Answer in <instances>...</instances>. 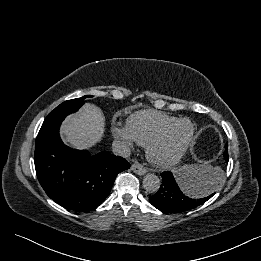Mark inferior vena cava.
Masks as SVG:
<instances>
[{
    "label": "inferior vena cava",
    "mask_w": 261,
    "mask_h": 261,
    "mask_svg": "<svg viewBox=\"0 0 261 261\" xmlns=\"http://www.w3.org/2000/svg\"><path fill=\"white\" fill-rule=\"evenodd\" d=\"M112 151L115 155L122 156L127 158L131 154L130 148L122 141H113L112 143Z\"/></svg>",
    "instance_id": "inferior-vena-cava-1"
}]
</instances>
